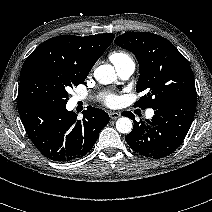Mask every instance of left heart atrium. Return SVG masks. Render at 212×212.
Returning a JSON list of instances; mask_svg holds the SVG:
<instances>
[{
	"label": "left heart atrium",
	"instance_id": "obj_1",
	"mask_svg": "<svg viewBox=\"0 0 212 212\" xmlns=\"http://www.w3.org/2000/svg\"><path fill=\"white\" fill-rule=\"evenodd\" d=\"M103 101L108 106H113L116 103V97L113 94H106Z\"/></svg>",
	"mask_w": 212,
	"mask_h": 212
}]
</instances>
